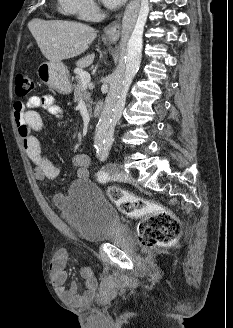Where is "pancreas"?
Returning a JSON list of instances; mask_svg holds the SVG:
<instances>
[{
  "mask_svg": "<svg viewBox=\"0 0 233 328\" xmlns=\"http://www.w3.org/2000/svg\"><path fill=\"white\" fill-rule=\"evenodd\" d=\"M89 86L83 87L82 82L80 78L77 79V85L75 86L74 90V100L78 102L80 99H84L86 102V105L90 111L92 112L91 106H92V100H91V94L88 91Z\"/></svg>",
  "mask_w": 233,
  "mask_h": 328,
  "instance_id": "cf45deb5",
  "label": "pancreas"
}]
</instances>
